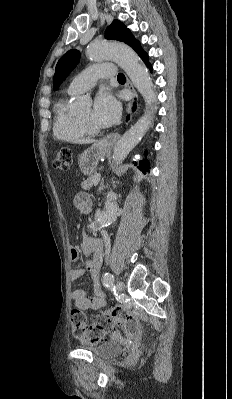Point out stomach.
<instances>
[{
  "label": "stomach",
  "instance_id": "stomach-1",
  "mask_svg": "<svg viewBox=\"0 0 232 399\" xmlns=\"http://www.w3.org/2000/svg\"><path fill=\"white\" fill-rule=\"evenodd\" d=\"M105 144L102 140L95 142L91 148L84 150L83 154L78 158V164L81 172L85 176H91L95 168L98 166L99 160H102L107 154V150H104Z\"/></svg>",
  "mask_w": 232,
  "mask_h": 399
}]
</instances>
